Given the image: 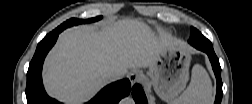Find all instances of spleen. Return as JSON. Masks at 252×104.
Wrapping results in <instances>:
<instances>
[{
  "label": "spleen",
  "instance_id": "obj_1",
  "mask_svg": "<svg viewBox=\"0 0 252 104\" xmlns=\"http://www.w3.org/2000/svg\"><path fill=\"white\" fill-rule=\"evenodd\" d=\"M213 101V88L206 70L195 65L186 90L176 98V104H209Z\"/></svg>",
  "mask_w": 252,
  "mask_h": 104
}]
</instances>
